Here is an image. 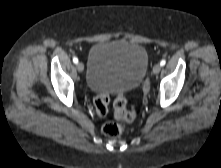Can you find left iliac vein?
<instances>
[{"label":"left iliac vein","instance_id":"obj_1","mask_svg":"<svg viewBox=\"0 0 221 168\" xmlns=\"http://www.w3.org/2000/svg\"><path fill=\"white\" fill-rule=\"evenodd\" d=\"M161 70V66L160 64H156L154 67H153V73L154 74H158Z\"/></svg>","mask_w":221,"mask_h":168}]
</instances>
